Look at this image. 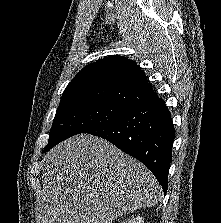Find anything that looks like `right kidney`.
Returning <instances> with one entry per match:
<instances>
[{"mask_svg":"<svg viewBox=\"0 0 221 223\" xmlns=\"http://www.w3.org/2000/svg\"><path fill=\"white\" fill-rule=\"evenodd\" d=\"M124 223H144V220L142 217L137 216V217H132L130 220H128Z\"/></svg>","mask_w":221,"mask_h":223,"instance_id":"ca27d5eb","label":"right kidney"}]
</instances>
